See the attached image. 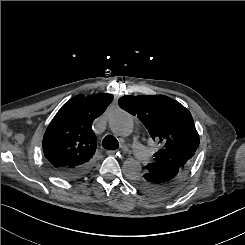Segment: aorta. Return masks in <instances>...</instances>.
<instances>
[{
	"label": "aorta",
	"instance_id": "obj_1",
	"mask_svg": "<svg viewBox=\"0 0 245 245\" xmlns=\"http://www.w3.org/2000/svg\"><path fill=\"white\" fill-rule=\"evenodd\" d=\"M109 128L113 134L119 137H127L133 132L134 123L130 114L123 110H117L109 118ZM141 164L138 160L128 158L123 163V172L128 179H135L141 174Z\"/></svg>",
	"mask_w": 245,
	"mask_h": 245
}]
</instances>
